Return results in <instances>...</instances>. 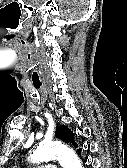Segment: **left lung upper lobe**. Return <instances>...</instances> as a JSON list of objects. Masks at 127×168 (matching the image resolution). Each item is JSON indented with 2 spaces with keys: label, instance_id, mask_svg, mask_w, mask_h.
Returning a JSON list of instances; mask_svg holds the SVG:
<instances>
[{
  "label": "left lung upper lobe",
  "instance_id": "1",
  "mask_svg": "<svg viewBox=\"0 0 127 168\" xmlns=\"http://www.w3.org/2000/svg\"><path fill=\"white\" fill-rule=\"evenodd\" d=\"M55 135H56V137L66 141V142L74 143L75 147H77V144L74 141L73 132L70 129H68L65 125L57 126Z\"/></svg>",
  "mask_w": 127,
  "mask_h": 168
}]
</instances>
